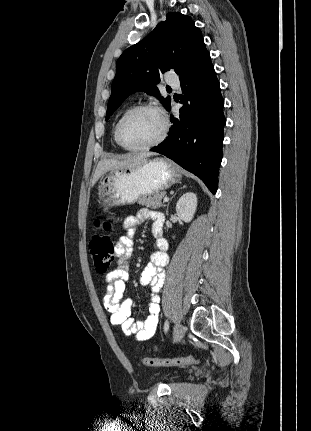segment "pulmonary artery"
<instances>
[{
  "mask_svg": "<svg viewBox=\"0 0 311 431\" xmlns=\"http://www.w3.org/2000/svg\"><path fill=\"white\" fill-rule=\"evenodd\" d=\"M166 82H167L168 84H170L171 86L175 87V88H179V87H180L179 81H170V80H166Z\"/></svg>",
  "mask_w": 311,
  "mask_h": 431,
  "instance_id": "1",
  "label": "pulmonary artery"
}]
</instances>
